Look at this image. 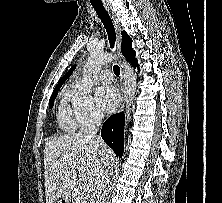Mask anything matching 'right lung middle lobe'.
I'll list each match as a JSON object with an SVG mask.
<instances>
[{
    "label": "right lung middle lobe",
    "instance_id": "dd1d6c3e",
    "mask_svg": "<svg viewBox=\"0 0 222 203\" xmlns=\"http://www.w3.org/2000/svg\"><path fill=\"white\" fill-rule=\"evenodd\" d=\"M57 94H58V91L52 93L50 100H49V107L50 108L53 107V102H54V99L56 98Z\"/></svg>",
    "mask_w": 222,
    "mask_h": 203
}]
</instances>
